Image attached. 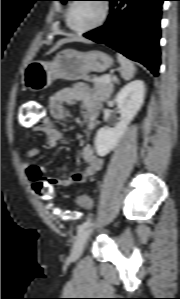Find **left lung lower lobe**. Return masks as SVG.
I'll use <instances>...</instances> for the list:
<instances>
[{"label":"left lung lower lobe","instance_id":"left-lung-lower-lobe-1","mask_svg":"<svg viewBox=\"0 0 180 299\" xmlns=\"http://www.w3.org/2000/svg\"><path fill=\"white\" fill-rule=\"evenodd\" d=\"M106 1H110L107 22L84 37L108 45L158 76L161 9L165 0Z\"/></svg>","mask_w":180,"mask_h":299}]
</instances>
